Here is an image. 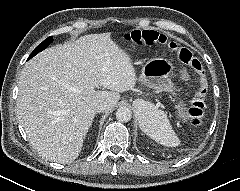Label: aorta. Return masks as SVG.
Returning <instances> with one entry per match:
<instances>
[{"instance_id":"obj_1","label":"aorta","mask_w":240,"mask_h":191,"mask_svg":"<svg viewBox=\"0 0 240 191\" xmlns=\"http://www.w3.org/2000/svg\"><path fill=\"white\" fill-rule=\"evenodd\" d=\"M142 105L144 106V108H147L149 104L146 102H143ZM138 110H142V109L138 108ZM116 118L119 122L130 121L132 118L131 110L127 107H119L116 111Z\"/></svg>"}]
</instances>
